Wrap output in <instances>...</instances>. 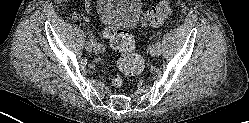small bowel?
<instances>
[{"instance_id": "small-bowel-1", "label": "small bowel", "mask_w": 249, "mask_h": 123, "mask_svg": "<svg viewBox=\"0 0 249 123\" xmlns=\"http://www.w3.org/2000/svg\"><path fill=\"white\" fill-rule=\"evenodd\" d=\"M84 3H85L86 16L78 11H73L72 17L75 20H78V21L86 20L87 21L90 19V16H91L92 11H93V0H84Z\"/></svg>"}]
</instances>
